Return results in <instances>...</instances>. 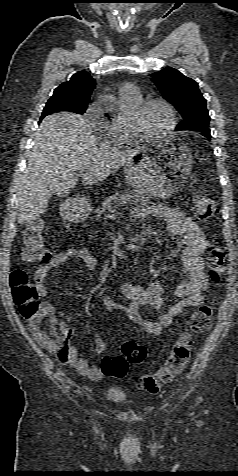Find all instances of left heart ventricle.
Returning a JSON list of instances; mask_svg holds the SVG:
<instances>
[{
  "label": "left heart ventricle",
  "instance_id": "1",
  "mask_svg": "<svg viewBox=\"0 0 238 476\" xmlns=\"http://www.w3.org/2000/svg\"><path fill=\"white\" fill-rule=\"evenodd\" d=\"M169 123L167 110L159 104H152L138 119L142 131L148 134H157L163 131Z\"/></svg>",
  "mask_w": 238,
  "mask_h": 476
}]
</instances>
